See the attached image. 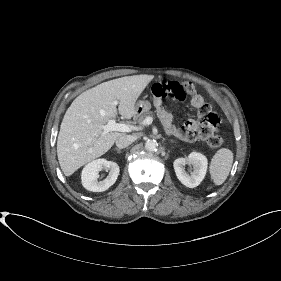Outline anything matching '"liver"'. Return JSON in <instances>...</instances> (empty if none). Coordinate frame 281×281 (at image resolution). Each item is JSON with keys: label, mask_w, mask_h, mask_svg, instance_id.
<instances>
[{"label": "liver", "mask_w": 281, "mask_h": 281, "mask_svg": "<svg viewBox=\"0 0 281 281\" xmlns=\"http://www.w3.org/2000/svg\"><path fill=\"white\" fill-rule=\"evenodd\" d=\"M152 79V75H134L103 82L72 102L57 138V156L65 176L105 154L124 135L104 133L102 127L118 113L126 119L136 115L135 103Z\"/></svg>", "instance_id": "liver-1"}]
</instances>
